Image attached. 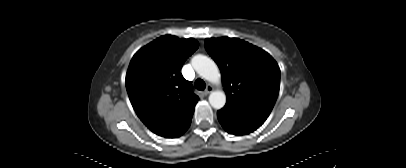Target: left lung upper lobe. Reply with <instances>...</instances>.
<instances>
[{
    "mask_svg": "<svg viewBox=\"0 0 406 168\" xmlns=\"http://www.w3.org/2000/svg\"><path fill=\"white\" fill-rule=\"evenodd\" d=\"M205 48L221 70L225 107L267 119L280 85V69L270 54L228 37L206 39Z\"/></svg>",
    "mask_w": 406,
    "mask_h": 168,
    "instance_id": "5c2ea615",
    "label": "left lung upper lobe"
}]
</instances>
